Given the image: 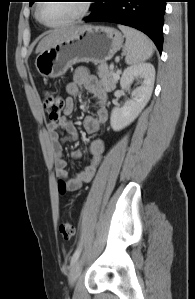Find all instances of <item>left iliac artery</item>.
<instances>
[{"label": "left iliac artery", "instance_id": "left-iliac-artery-1", "mask_svg": "<svg viewBox=\"0 0 195 299\" xmlns=\"http://www.w3.org/2000/svg\"><path fill=\"white\" fill-rule=\"evenodd\" d=\"M81 252V242H79L77 249L75 250L73 256L71 257V263H75Z\"/></svg>", "mask_w": 195, "mask_h": 299}]
</instances>
